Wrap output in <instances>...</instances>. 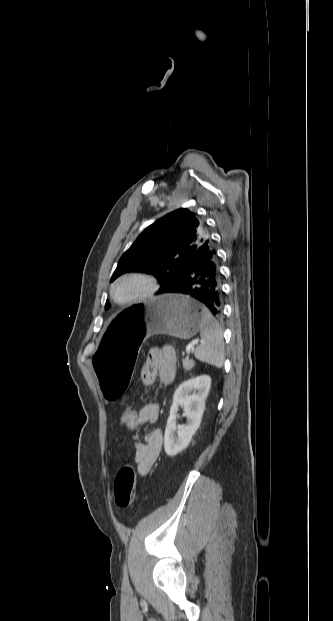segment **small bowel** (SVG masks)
Listing matches in <instances>:
<instances>
[{
	"mask_svg": "<svg viewBox=\"0 0 333 621\" xmlns=\"http://www.w3.org/2000/svg\"><path fill=\"white\" fill-rule=\"evenodd\" d=\"M177 372V355L173 348H153L149 351L141 371L144 384H151L158 378L163 384L172 383ZM159 415V406L148 403L139 410V422L132 430L138 431L146 424L154 423ZM134 434L135 463L141 476H146L156 462L163 445V435L160 430H152L144 435L142 441Z\"/></svg>",
	"mask_w": 333,
	"mask_h": 621,
	"instance_id": "1",
	"label": "small bowel"
}]
</instances>
